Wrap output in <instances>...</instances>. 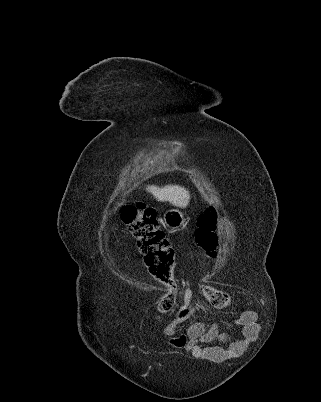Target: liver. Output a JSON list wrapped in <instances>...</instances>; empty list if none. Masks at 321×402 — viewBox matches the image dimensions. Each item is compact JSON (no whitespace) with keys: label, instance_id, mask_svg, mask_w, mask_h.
Returning a JSON list of instances; mask_svg holds the SVG:
<instances>
[{"label":"liver","instance_id":"1","mask_svg":"<svg viewBox=\"0 0 321 402\" xmlns=\"http://www.w3.org/2000/svg\"><path fill=\"white\" fill-rule=\"evenodd\" d=\"M146 190L150 192L158 201L169 202L174 206L185 208L190 200L189 192L178 185H167L162 188L151 185Z\"/></svg>","mask_w":321,"mask_h":402}]
</instances>
